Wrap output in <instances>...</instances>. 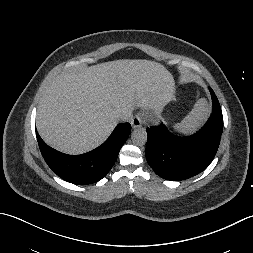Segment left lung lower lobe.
Here are the masks:
<instances>
[{
    "mask_svg": "<svg viewBox=\"0 0 253 253\" xmlns=\"http://www.w3.org/2000/svg\"><path fill=\"white\" fill-rule=\"evenodd\" d=\"M213 112L206 125L189 137L173 135L164 126L147 128L146 159L160 177L184 180L205 170L219 147L223 115L214 91L209 88Z\"/></svg>",
    "mask_w": 253,
    "mask_h": 253,
    "instance_id": "obj_1",
    "label": "left lung lower lobe"
}]
</instances>
